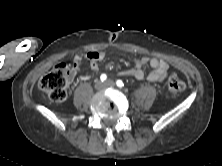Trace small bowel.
Here are the masks:
<instances>
[{
    "mask_svg": "<svg viewBox=\"0 0 222 166\" xmlns=\"http://www.w3.org/2000/svg\"><path fill=\"white\" fill-rule=\"evenodd\" d=\"M105 58V53L102 51H90L84 57L76 55L72 62L73 73L78 71L84 61H87L89 67L93 71L99 69V62ZM133 67L124 69L120 72L122 76L134 77L138 80L146 79L150 82H162L167 77L169 64L158 57H142L133 58ZM149 65L151 72L146 76L143 68Z\"/></svg>",
    "mask_w": 222,
    "mask_h": 166,
    "instance_id": "obj_1",
    "label": "small bowel"
}]
</instances>
